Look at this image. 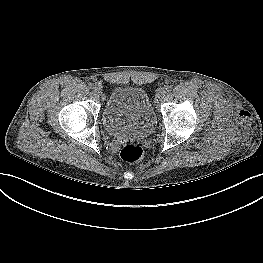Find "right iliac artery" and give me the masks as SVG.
<instances>
[{
  "label": "right iliac artery",
  "instance_id": "right-iliac-artery-1",
  "mask_svg": "<svg viewBox=\"0 0 263 263\" xmlns=\"http://www.w3.org/2000/svg\"><path fill=\"white\" fill-rule=\"evenodd\" d=\"M100 87H101L100 83H95V84L92 85L93 89H97V88H100Z\"/></svg>",
  "mask_w": 263,
  "mask_h": 263
}]
</instances>
